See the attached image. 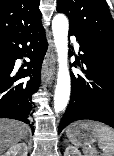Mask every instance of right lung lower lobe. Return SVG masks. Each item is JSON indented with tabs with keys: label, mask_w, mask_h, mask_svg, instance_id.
Segmentation results:
<instances>
[{
	"label": "right lung lower lobe",
	"mask_w": 114,
	"mask_h": 156,
	"mask_svg": "<svg viewBox=\"0 0 114 156\" xmlns=\"http://www.w3.org/2000/svg\"><path fill=\"white\" fill-rule=\"evenodd\" d=\"M0 48V54L4 55L0 58V118L29 124L34 105L32 94L39 87L40 70L48 48L42 24L1 40ZM23 56L30 62H26V69L16 71L15 61ZM27 76L28 81H20Z\"/></svg>",
	"instance_id": "98d812e1"
}]
</instances>
